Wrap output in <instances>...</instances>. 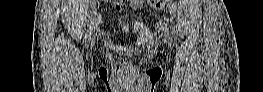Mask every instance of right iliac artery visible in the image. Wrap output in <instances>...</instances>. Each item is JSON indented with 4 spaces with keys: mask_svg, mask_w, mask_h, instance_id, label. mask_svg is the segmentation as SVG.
<instances>
[{
    "mask_svg": "<svg viewBox=\"0 0 263 92\" xmlns=\"http://www.w3.org/2000/svg\"><path fill=\"white\" fill-rule=\"evenodd\" d=\"M100 19H101V13L99 12V9H94L92 22H91V25L89 27V31L86 34V45L87 46H89L93 30L97 28V25H98L97 21Z\"/></svg>",
    "mask_w": 263,
    "mask_h": 92,
    "instance_id": "right-iliac-artery-1",
    "label": "right iliac artery"
}]
</instances>
